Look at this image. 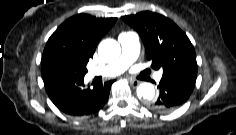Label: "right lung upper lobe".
Returning a JSON list of instances; mask_svg holds the SVG:
<instances>
[{
  "label": "right lung upper lobe",
  "mask_w": 236,
  "mask_h": 135,
  "mask_svg": "<svg viewBox=\"0 0 236 135\" xmlns=\"http://www.w3.org/2000/svg\"><path fill=\"white\" fill-rule=\"evenodd\" d=\"M117 18H96L78 14L63 22L49 38L42 58L52 52H63L89 61L100 39L109 31Z\"/></svg>",
  "instance_id": "right-lung-upper-lobe-1"
}]
</instances>
